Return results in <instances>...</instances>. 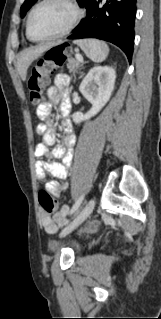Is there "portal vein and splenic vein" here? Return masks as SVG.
<instances>
[{"mask_svg":"<svg viewBox=\"0 0 161 319\" xmlns=\"http://www.w3.org/2000/svg\"><path fill=\"white\" fill-rule=\"evenodd\" d=\"M76 59L78 60V61H80V62H82L83 61V57L80 55V54H76Z\"/></svg>","mask_w":161,"mask_h":319,"instance_id":"obj_1","label":"portal vein and splenic vein"}]
</instances>
